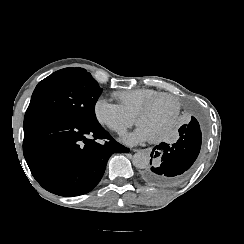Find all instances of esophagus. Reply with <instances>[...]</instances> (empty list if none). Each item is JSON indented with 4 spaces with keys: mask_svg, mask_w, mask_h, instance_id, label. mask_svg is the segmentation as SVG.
Wrapping results in <instances>:
<instances>
[{
    "mask_svg": "<svg viewBox=\"0 0 244 244\" xmlns=\"http://www.w3.org/2000/svg\"><path fill=\"white\" fill-rule=\"evenodd\" d=\"M134 152H143L145 154H149L151 151V148H143V149H133Z\"/></svg>",
    "mask_w": 244,
    "mask_h": 244,
    "instance_id": "obj_1",
    "label": "esophagus"
}]
</instances>
